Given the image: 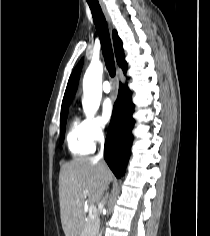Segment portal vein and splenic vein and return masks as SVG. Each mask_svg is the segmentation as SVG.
Wrapping results in <instances>:
<instances>
[{"label":"portal vein and splenic vein","mask_w":210,"mask_h":236,"mask_svg":"<svg viewBox=\"0 0 210 236\" xmlns=\"http://www.w3.org/2000/svg\"><path fill=\"white\" fill-rule=\"evenodd\" d=\"M97 213V208H96V206L95 205H91L90 207H89V214L90 215H95Z\"/></svg>","instance_id":"obj_1"}]
</instances>
